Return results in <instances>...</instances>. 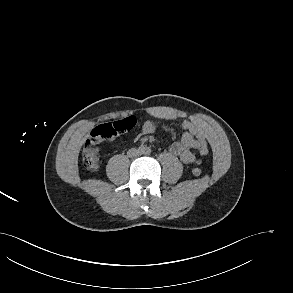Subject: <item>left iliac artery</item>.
<instances>
[{
    "label": "left iliac artery",
    "mask_w": 293,
    "mask_h": 293,
    "mask_svg": "<svg viewBox=\"0 0 293 293\" xmlns=\"http://www.w3.org/2000/svg\"><path fill=\"white\" fill-rule=\"evenodd\" d=\"M145 153H146V154H150V153H151V149H150L149 147H147V148L145 149Z\"/></svg>",
    "instance_id": "44dca946"
}]
</instances>
